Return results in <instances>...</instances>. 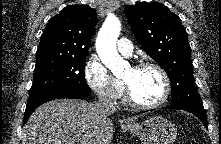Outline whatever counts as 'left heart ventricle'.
Listing matches in <instances>:
<instances>
[{"label":"left heart ventricle","instance_id":"obj_1","mask_svg":"<svg viewBox=\"0 0 221 144\" xmlns=\"http://www.w3.org/2000/svg\"><path fill=\"white\" fill-rule=\"evenodd\" d=\"M124 81L129 84L135 99L141 103H154L163 95L164 83L154 68H130L124 76Z\"/></svg>","mask_w":221,"mask_h":144}]
</instances>
